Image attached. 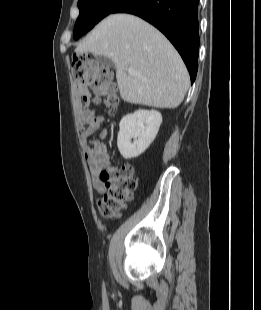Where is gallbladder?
<instances>
[{
    "label": "gallbladder",
    "instance_id": "gallbladder-1",
    "mask_svg": "<svg viewBox=\"0 0 261 310\" xmlns=\"http://www.w3.org/2000/svg\"><path fill=\"white\" fill-rule=\"evenodd\" d=\"M95 60L101 66H106V67H113L114 66L113 61L110 58L103 56V55H97L95 57Z\"/></svg>",
    "mask_w": 261,
    "mask_h": 310
}]
</instances>
